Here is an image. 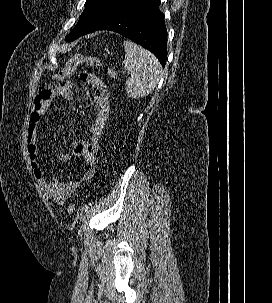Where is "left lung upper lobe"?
I'll return each mask as SVG.
<instances>
[{
  "instance_id": "left-lung-upper-lobe-1",
  "label": "left lung upper lobe",
  "mask_w": 272,
  "mask_h": 303,
  "mask_svg": "<svg viewBox=\"0 0 272 303\" xmlns=\"http://www.w3.org/2000/svg\"><path fill=\"white\" fill-rule=\"evenodd\" d=\"M142 0H87L85 9L74 29L67 35V41H73L89 32L101 22L115 16Z\"/></svg>"
}]
</instances>
